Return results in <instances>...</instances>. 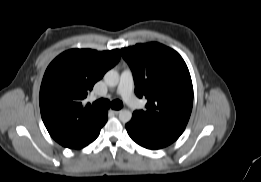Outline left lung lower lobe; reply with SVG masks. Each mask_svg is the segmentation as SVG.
Segmentation results:
<instances>
[{
    "label": "left lung lower lobe",
    "instance_id": "1",
    "mask_svg": "<svg viewBox=\"0 0 261 182\" xmlns=\"http://www.w3.org/2000/svg\"><path fill=\"white\" fill-rule=\"evenodd\" d=\"M126 129L137 144L147 149L164 148L179 138L175 133L145 128L133 118L126 124Z\"/></svg>",
    "mask_w": 261,
    "mask_h": 182
}]
</instances>
